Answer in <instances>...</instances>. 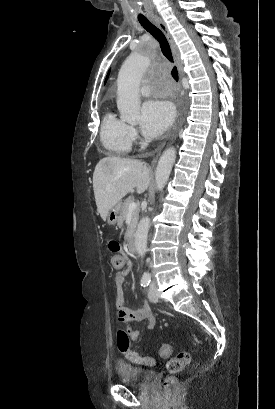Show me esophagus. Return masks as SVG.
<instances>
[{
    "instance_id": "34e87169",
    "label": "esophagus",
    "mask_w": 275,
    "mask_h": 409,
    "mask_svg": "<svg viewBox=\"0 0 275 409\" xmlns=\"http://www.w3.org/2000/svg\"><path fill=\"white\" fill-rule=\"evenodd\" d=\"M151 21L157 25V27L163 32V34L165 35V37L167 38V41L169 42V45L171 47V52L173 54V57L176 61L177 64V68H178V72H179V80L181 82V79L183 77V68H182V61H181V57H180V52L175 44V41L171 35V33L169 32L167 25L165 24V22L160 18V17H153L151 19ZM164 146V144H162V146H160V148H162ZM159 154H157V156L153 159V162H156L157 158H158Z\"/></svg>"
}]
</instances>
